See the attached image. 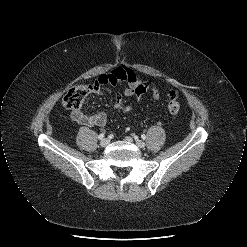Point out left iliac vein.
<instances>
[{
  "label": "left iliac vein",
  "mask_w": 247,
  "mask_h": 247,
  "mask_svg": "<svg viewBox=\"0 0 247 247\" xmlns=\"http://www.w3.org/2000/svg\"><path fill=\"white\" fill-rule=\"evenodd\" d=\"M125 140L128 141V142H132L133 141V139L131 137H126ZM135 143L139 148H144L145 147V143L143 141H141V140H135Z\"/></svg>",
  "instance_id": "1"
}]
</instances>
